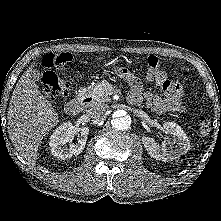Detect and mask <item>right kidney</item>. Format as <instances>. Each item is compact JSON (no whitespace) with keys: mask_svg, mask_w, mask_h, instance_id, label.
<instances>
[{"mask_svg":"<svg viewBox=\"0 0 221 221\" xmlns=\"http://www.w3.org/2000/svg\"><path fill=\"white\" fill-rule=\"evenodd\" d=\"M79 134L77 143H70L75 134ZM88 127H75L71 122H64L57 127L50 136L49 146L54 157L60 159L71 158L80 154L88 138Z\"/></svg>","mask_w":221,"mask_h":221,"instance_id":"obj_1","label":"right kidney"}]
</instances>
